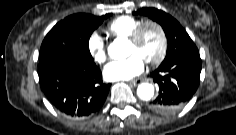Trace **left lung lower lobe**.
<instances>
[{"instance_id": "obj_1", "label": "left lung lower lobe", "mask_w": 236, "mask_h": 135, "mask_svg": "<svg viewBox=\"0 0 236 135\" xmlns=\"http://www.w3.org/2000/svg\"><path fill=\"white\" fill-rule=\"evenodd\" d=\"M201 68L198 50L161 63L151 74L159 85V95L149 103V108L160 114H170L184 106L197 91Z\"/></svg>"}]
</instances>
